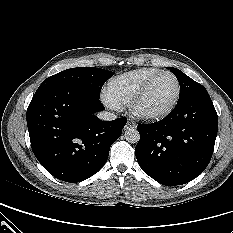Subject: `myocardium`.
Wrapping results in <instances>:
<instances>
[{"label":"myocardium","mask_w":233,"mask_h":233,"mask_svg":"<svg viewBox=\"0 0 233 233\" xmlns=\"http://www.w3.org/2000/svg\"><path fill=\"white\" fill-rule=\"evenodd\" d=\"M161 75H170L173 77L176 83V93L172 101L162 110L155 111V112H145L142 111L138 108V104L141 101V99L144 97L146 94L147 90L149 89L150 85L153 83V81L158 78ZM181 96V83L178 77L171 71L169 70H161L157 72L156 74L152 75L145 83L138 89V91L132 96L128 103V108L130 113L142 120H147V121H156L160 120L167 115H169L173 109L176 107L179 99Z\"/></svg>","instance_id":"myocardium-1"}]
</instances>
